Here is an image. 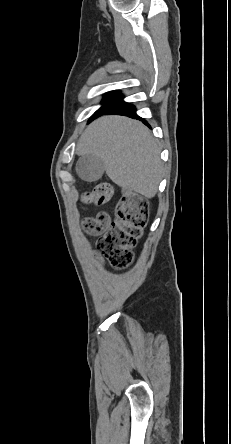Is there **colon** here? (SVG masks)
I'll return each mask as SVG.
<instances>
[{
	"label": "colon",
	"mask_w": 231,
	"mask_h": 444,
	"mask_svg": "<svg viewBox=\"0 0 231 444\" xmlns=\"http://www.w3.org/2000/svg\"><path fill=\"white\" fill-rule=\"evenodd\" d=\"M113 194L108 183H101L84 195L86 203L103 205ZM148 202L135 193H125L119 201L116 216L111 220L107 213L85 218L83 229L90 235L99 236L98 249L114 267L125 268L133 260L132 249L142 236L148 220Z\"/></svg>",
	"instance_id": "colon-1"
}]
</instances>
